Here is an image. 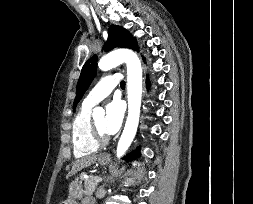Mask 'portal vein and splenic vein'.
I'll return each instance as SVG.
<instances>
[{
	"label": "portal vein and splenic vein",
	"mask_w": 253,
	"mask_h": 204,
	"mask_svg": "<svg viewBox=\"0 0 253 204\" xmlns=\"http://www.w3.org/2000/svg\"><path fill=\"white\" fill-rule=\"evenodd\" d=\"M92 180L95 181V182H97V183L102 181V179L100 177H98V176H94L92 178Z\"/></svg>",
	"instance_id": "18ae733b"
}]
</instances>
